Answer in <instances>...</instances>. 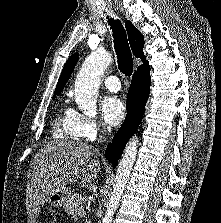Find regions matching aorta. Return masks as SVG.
<instances>
[{
	"mask_svg": "<svg viewBox=\"0 0 221 223\" xmlns=\"http://www.w3.org/2000/svg\"><path fill=\"white\" fill-rule=\"evenodd\" d=\"M111 62L112 56L110 53L105 50L94 51L86 58L76 77L74 90L75 102L79 110L88 116H95L97 114L96 102L100 80ZM138 143V138L135 135L126 145L118 164L113 189L102 223L112 222V217L120 203L135 162Z\"/></svg>",
	"mask_w": 221,
	"mask_h": 223,
	"instance_id": "1",
	"label": "aorta"
}]
</instances>
